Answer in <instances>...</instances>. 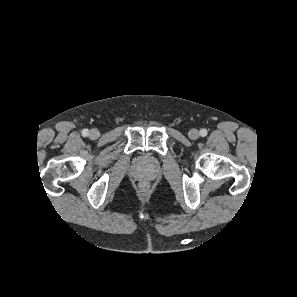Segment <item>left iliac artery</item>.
I'll return each mask as SVG.
<instances>
[{
  "label": "left iliac artery",
  "instance_id": "44dca946",
  "mask_svg": "<svg viewBox=\"0 0 297 297\" xmlns=\"http://www.w3.org/2000/svg\"><path fill=\"white\" fill-rule=\"evenodd\" d=\"M207 130L206 129H201L200 130V135L202 136V137H205L206 135H207Z\"/></svg>",
  "mask_w": 297,
  "mask_h": 297
}]
</instances>
